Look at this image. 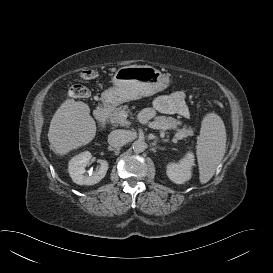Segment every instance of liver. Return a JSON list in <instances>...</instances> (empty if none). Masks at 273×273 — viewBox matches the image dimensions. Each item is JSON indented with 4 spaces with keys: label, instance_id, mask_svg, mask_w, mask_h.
<instances>
[{
    "label": "liver",
    "instance_id": "6515ba94",
    "mask_svg": "<svg viewBox=\"0 0 273 273\" xmlns=\"http://www.w3.org/2000/svg\"><path fill=\"white\" fill-rule=\"evenodd\" d=\"M96 135L90 108L82 101L67 99L55 112L48 131L50 149L65 155L88 144Z\"/></svg>",
    "mask_w": 273,
    "mask_h": 273
}]
</instances>
